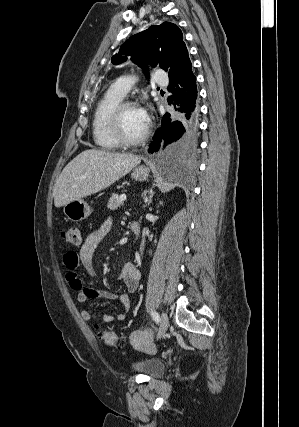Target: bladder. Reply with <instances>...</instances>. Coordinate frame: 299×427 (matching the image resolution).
<instances>
[{
	"instance_id": "31cf9c89",
	"label": "bladder",
	"mask_w": 299,
	"mask_h": 427,
	"mask_svg": "<svg viewBox=\"0 0 299 427\" xmlns=\"http://www.w3.org/2000/svg\"><path fill=\"white\" fill-rule=\"evenodd\" d=\"M132 369L150 378H157L165 372V363L154 358H148L133 362Z\"/></svg>"
}]
</instances>
